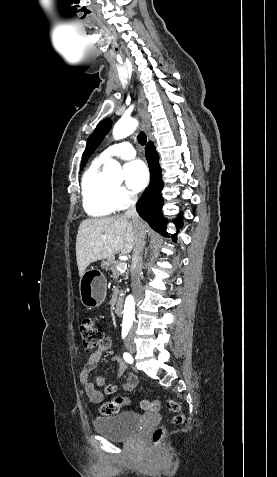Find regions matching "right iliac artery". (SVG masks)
<instances>
[{"label": "right iliac artery", "instance_id": "82829eb1", "mask_svg": "<svg viewBox=\"0 0 277 477\" xmlns=\"http://www.w3.org/2000/svg\"><path fill=\"white\" fill-rule=\"evenodd\" d=\"M126 335H127V331H123V332H122V337L125 338ZM123 357H124V360H125L126 362H128V363H132V362H133V358H132V356H131L129 353L125 352V353L123 354Z\"/></svg>", "mask_w": 277, "mask_h": 477}]
</instances>
